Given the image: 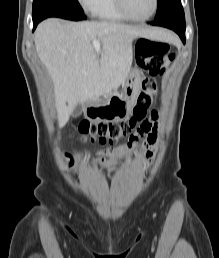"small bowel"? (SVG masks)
Here are the masks:
<instances>
[{"mask_svg":"<svg viewBox=\"0 0 219 258\" xmlns=\"http://www.w3.org/2000/svg\"><path fill=\"white\" fill-rule=\"evenodd\" d=\"M157 113L152 112L151 118L153 120L152 123L144 122L136 134H134L130 141L123 146H119L117 148H105L100 151V154L105 157V159L99 161V165L108 172L114 171L118 167V163L120 160L124 159L128 163H131L132 154H137L136 143L140 136L147 134V141H146V152L144 156L146 158H152L153 152L151 148L154 146L157 140L156 132L158 129L157 123Z\"/></svg>","mask_w":219,"mask_h":258,"instance_id":"1","label":"small bowel"}]
</instances>
